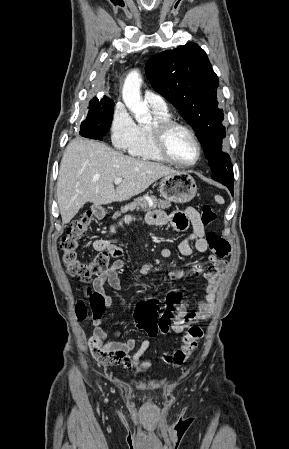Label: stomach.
<instances>
[{
    "instance_id": "1",
    "label": "stomach",
    "mask_w": 289,
    "mask_h": 449,
    "mask_svg": "<svg viewBox=\"0 0 289 449\" xmlns=\"http://www.w3.org/2000/svg\"><path fill=\"white\" fill-rule=\"evenodd\" d=\"M159 192L167 201L183 204L195 197L197 185L191 175L177 171L160 180Z\"/></svg>"
}]
</instances>
